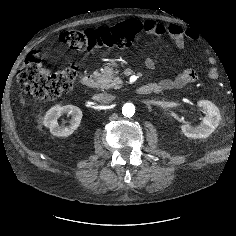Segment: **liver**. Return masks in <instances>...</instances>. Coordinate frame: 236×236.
Masks as SVG:
<instances>
[{
    "mask_svg": "<svg viewBox=\"0 0 236 236\" xmlns=\"http://www.w3.org/2000/svg\"><path fill=\"white\" fill-rule=\"evenodd\" d=\"M20 102H21L23 107L26 106V100L22 96H21Z\"/></svg>",
    "mask_w": 236,
    "mask_h": 236,
    "instance_id": "obj_1",
    "label": "liver"
}]
</instances>
